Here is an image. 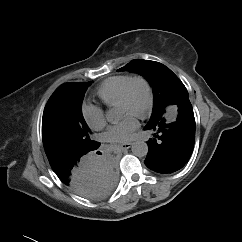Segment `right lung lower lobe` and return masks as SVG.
Returning a JSON list of instances; mask_svg holds the SVG:
<instances>
[{"label": "right lung lower lobe", "instance_id": "1", "mask_svg": "<svg viewBox=\"0 0 242 242\" xmlns=\"http://www.w3.org/2000/svg\"><path fill=\"white\" fill-rule=\"evenodd\" d=\"M51 167L63 184L91 200L106 198L117 184L115 162L109 156L85 154L57 161Z\"/></svg>", "mask_w": 242, "mask_h": 242}]
</instances>
